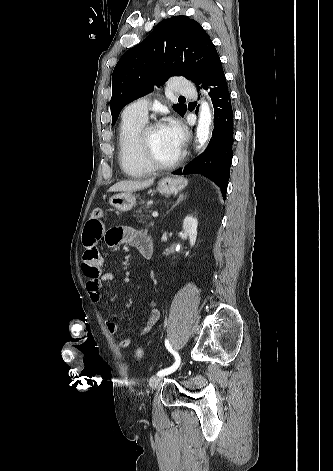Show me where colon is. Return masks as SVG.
I'll list each match as a JSON object with an SVG mask.
<instances>
[{"label": "colon", "instance_id": "colon-1", "mask_svg": "<svg viewBox=\"0 0 333 471\" xmlns=\"http://www.w3.org/2000/svg\"><path fill=\"white\" fill-rule=\"evenodd\" d=\"M103 215V211L101 208H95L92 213H91V217L94 218V219H98L100 217H102ZM144 354V351L141 347H138L135 351V356L137 358H141Z\"/></svg>", "mask_w": 333, "mask_h": 471}]
</instances>
